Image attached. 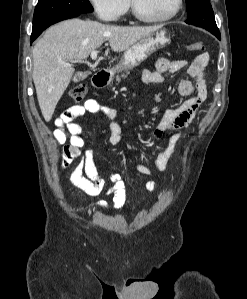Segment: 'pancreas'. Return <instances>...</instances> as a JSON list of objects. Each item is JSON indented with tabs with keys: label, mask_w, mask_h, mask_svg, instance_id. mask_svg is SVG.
<instances>
[{
	"label": "pancreas",
	"mask_w": 247,
	"mask_h": 299,
	"mask_svg": "<svg viewBox=\"0 0 247 299\" xmlns=\"http://www.w3.org/2000/svg\"><path fill=\"white\" fill-rule=\"evenodd\" d=\"M129 72L127 71L126 74H122L121 76L116 77V81L119 83L121 81V78H126Z\"/></svg>",
	"instance_id": "obj_1"
}]
</instances>
